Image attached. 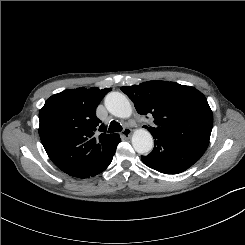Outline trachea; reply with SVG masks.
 Masks as SVG:
<instances>
[{
	"label": "trachea",
	"mask_w": 245,
	"mask_h": 245,
	"mask_svg": "<svg viewBox=\"0 0 245 245\" xmlns=\"http://www.w3.org/2000/svg\"><path fill=\"white\" fill-rule=\"evenodd\" d=\"M122 131V126L117 121H111L108 132H120Z\"/></svg>",
	"instance_id": "obj_1"
}]
</instances>
